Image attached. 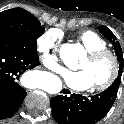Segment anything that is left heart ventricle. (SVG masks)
<instances>
[{"label": "left heart ventricle", "instance_id": "obj_1", "mask_svg": "<svg viewBox=\"0 0 124 124\" xmlns=\"http://www.w3.org/2000/svg\"><path fill=\"white\" fill-rule=\"evenodd\" d=\"M77 69L89 72L93 86L104 82L110 75L112 70L109 58H101L97 61H91L87 56L78 65Z\"/></svg>", "mask_w": 124, "mask_h": 124}]
</instances>
